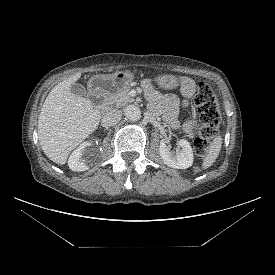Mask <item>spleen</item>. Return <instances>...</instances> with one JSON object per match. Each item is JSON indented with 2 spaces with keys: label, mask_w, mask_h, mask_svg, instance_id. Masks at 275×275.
<instances>
[{
  "label": "spleen",
  "mask_w": 275,
  "mask_h": 275,
  "mask_svg": "<svg viewBox=\"0 0 275 275\" xmlns=\"http://www.w3.org/2000/svg\"><path fill=\"white\" fill-rule=\"evenodd\" d=\"M221 146H222V137L218 135L214 138L213 142L210 144L209 149L203 159V163H202L203 169H207L213 165V163L216 161L220 153ZM199 171L200 169L198 167L194 169L195 173H198Z\"/></svg>",
  "instance_id": "obj_1"
}]
</instances>
